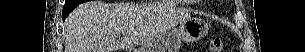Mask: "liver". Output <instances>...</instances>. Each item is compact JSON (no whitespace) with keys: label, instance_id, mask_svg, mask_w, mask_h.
I'll use <instances>...</instances> for the list:
<instances>
[{"label":"liver","instance_id":"1","mask_svg":"<svg viewBox=\"0 0 305 52\" xmlns=\"http://www.w3.org/2000/svg\"><path fill=\"white\" fill-rule=\"evenodd\" d=\"M65 25V52H116L145 44L161 34L146 6L102 1L79 5Z\"/></svg>","mask_w":305,"mask_h":52}]
</instances>
